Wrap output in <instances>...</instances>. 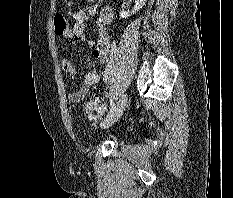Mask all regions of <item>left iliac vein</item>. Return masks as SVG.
I'll use <instances>...</instances> for the list:
<instances>
[{
  "mask_svg": "<svg viewBox=\"0 0 233 198\" xmlns=\"http://www.w3.org/2000/svg\"><path fill=\"white\" fill-rule=\"evenodd\" d=\"M127 105V94H123L114 109V111L106 117L100 124L102 129L109 128L111 125H113L123 114L125 108Z\"/></svg>",
  "mask_w": 233,
  "mask_h": 198,
  "instance_id": "1",
  "label": "left iliac vein"
}]
</instances>
